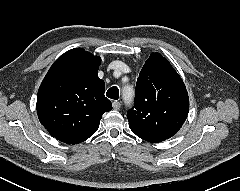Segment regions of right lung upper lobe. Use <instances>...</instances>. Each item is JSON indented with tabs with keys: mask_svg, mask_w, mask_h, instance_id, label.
Returning <instances> with one entry per match:
<instances>
[{
	"mask_svg": "<svg viewBox=\"0 0 240 191\" xmlns=\"http://www.w3.org/2000/svg\"><path fill=\"white\" fill-rule=\"evenodd\" d=\"M100 63L98 56L75 48L60 56L44 77L37 114L56 139L68 144L85 141L97 131L103 113L112 109L98 77Z\"/></svg>",
	"mask_w": 240,
	"mask_h": 191,
	"instance_id": "obj_1",
	"label": "right lung upper lobe"
}]
</instances>
